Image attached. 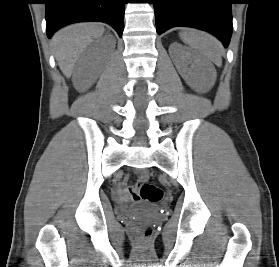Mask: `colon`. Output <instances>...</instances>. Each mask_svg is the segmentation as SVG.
<instances>
[{
  "label": "colon",
  "mask_w": 279,
  "mask_h": 267,
  "mask_svg": "<svg viewBox=\"0 0 279 267\" xmlns=\"http://www.w3.org/2000/svg\"><path fill=\"white\" fill-rule=\"evenodd\" d=\"M139 190L134 192H139L142 200L150 202H158L163 198V191L158 186L148 182V174L143 172L139 176ZM139 237L146 239L151 235V228L146 227L138 232Z\"/></svg>",
  "instance_id": "colon-1"
}]
</instances>
